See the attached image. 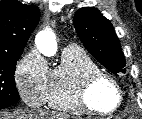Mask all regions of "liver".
Listing matches in <instances>:
<instances>
[{"instance_id":"obj_1","label":"liver","mask_w":142,"mask_h":119,"mask_svg":"<svg viewBox=\"0 0 142 119\" xmlns=\"http://www.w3.org/2000/svg\"><path fill=\"white\" fill-rule=\"evenodd\" d=\"M0 119H68V116L49 111H21L14 114H0Z\"/></svg>"}]
</instances>
